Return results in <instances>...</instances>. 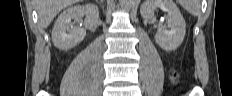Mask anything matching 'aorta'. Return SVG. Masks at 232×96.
<instances>
[{
    "mask_svg": "<svg viewBox=\"0 0 232 96\" xmlns=\"http://www.w3.org/2000/svg\"><path fill=\"white\" fill-rule=\"evenodd\" d=\"M120 4L124 7V8H131L132 4H133V0H119Z\"/></svg>",
    "mask_w": 232,
    "mask_h": 96,
    "instance_id": "1",
    "label": "aorta"
}]
</instances>
